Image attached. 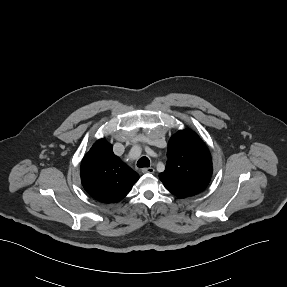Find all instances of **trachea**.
<instances>
[{
	"label": "trachea",
	"instance_id": "3493384b",
	"mask_svg": "<svg viewBox=\"0 0 287 287\" xmlns=\"http://www.w3.org/2000/svg\"><path fill=\"white\" fill-rule=\"evenodd\" d=\"M137 166L139 168H145V167H149L150 166V160L147 157H141L138 161H137Z\"/></svg>",
	"mask_w": 287,
	"mask_h": 287
}]
</instances>
